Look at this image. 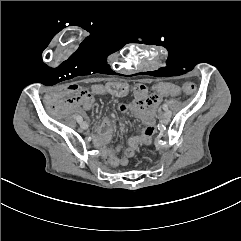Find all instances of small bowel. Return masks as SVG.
Here are the masks:
<instances>
[{
  "mask_svg": "<svg viewBox=\"0 0 241 241\" xmlns=\"http://www.w3.org/2000/svg\"><path fill=\"white\" fill-rule=\"evenodd\" d=\"M171 84V83H167ZM172 85V84H171ZM105 84H95L92 86L91 91H86L80 89L77 85H70L66 92L73 96V98L68 97L65 100L66 105L73 107L79 114H85V111L89 110L92 107L94 95H102L106 94L104 91ZM129 91V90H128ZM134 92V100L131 103H122L120 105V110L123 112H131L137 118H139L144 127L140 134L131 137L128 141V147L126 148L124 154L117 158L114 154H110L109 163L112 166H116L118 163L122 165H126L129 162V159L134 156L137 149L141 145H149L152 143L153 135L156 131V109L157 106L164 96H159L156 93H153L158 96L157 101H148V90L147 87L143 83L135 84L133 88ZM128 93V92H127ZM126 93V94H127ZM126 94L120 96L123 97ZM151 96V95H150ZM46 101L50 106H48L47 111L50 114L56 113L57 115L63 114V109L58 105L59 102L55 99L53 94H48L46 97ZM97 132L96 142L101 147H106L112 136L113 127L112 123L109 119H102L95 127ZM121 131L124 132L125 129L121 128ZM121 146L118 145L114 152H119Z\"/></svg>",
  "mask_w": 241,
  "mask_h": 241,
  "instance_id": "obj_1",
  "label": "small bowel"
}]
</instances>
